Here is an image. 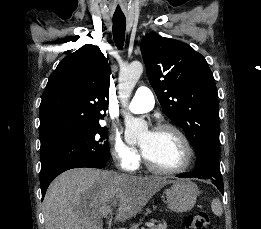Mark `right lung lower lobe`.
Instances as JSON below:
<instances>
[{"label": "right lung lower lobe", "instance_id": "1", "mask_svg": "<svg viewBox=\"0 0 261 229\" xmlns=\"http://www.w3.org/2000/svg\"><path fill=\"white\" fill-rule=\"evenodd\" d=\"M104 168L106 167V162L98 161V160H88V161H79V162H71L65 164H57L48 166L41 170L40 173V186L42 192V200L45 196L46 190L50 184V182L57 177L60 173L72 169V168Z\"/></svg>", "mask_w": 261, "mask_h": 229}]
</instances>
